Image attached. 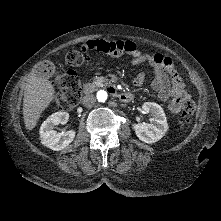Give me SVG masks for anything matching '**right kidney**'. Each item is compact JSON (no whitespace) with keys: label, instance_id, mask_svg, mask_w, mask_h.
<instances>
[{"label":"right kidney","instance_id":"ca27d5eb","mask_svg":"<svg viewBox=\"0 0 221 221\" xmlns=\"http://www.w3.org/2000/svg\"><path fill=\"white\" fill-rule=\"evenodd\" d=\"M69 114L67 112H56L44 121L40 127L41 143L54 150L60 151L66 148L75 138V131L57 132L54 130L58 124H65L68 121Z\"/></svg>","mask_w":221,"mask_h":221}]
</instances>
